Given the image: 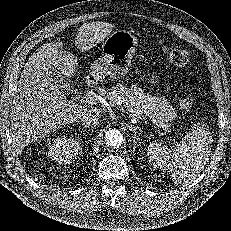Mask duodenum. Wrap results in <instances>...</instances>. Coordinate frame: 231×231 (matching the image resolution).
I'll use <instances>...</instances> for the list:
<instances>
[{"label": "duodenum", "mask_w": 231, "mask_h": 231, "mask_svg": "<svg viewBox=\"0 0 231 231\" xmlns=\"http://www.w3.org/2000/svg\"><path fill=\"white\" fill-rule=\"evenodd\" d=\"M94 84H95V79L94 78H92V77H90L89 79H87V81H86V87H88V88H90V87H93L94 86Z\"/></svg>", "instance_id": "obj_1"}]
</instances>
